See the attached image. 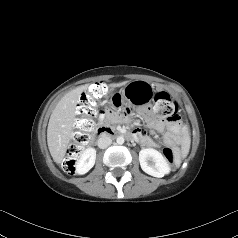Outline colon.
I'll use <instances>...</instances> for the list:
<instances>
[{
  "label": "colon",
  "mask_w": 238,
  "mask_h": 238,
  "mask_svg": "<svg viewBox=\"0 0 238 238\" xmlns=\"http://www.w3.org/2000/svg\"><path fill=\"white\" fill-rule=\"evenodd\" d=\"M108 86L104 83H95L82 94L77 105L78 118L75 121V131L63 161V168L67 173H73L78 156L88 144L94 128L93 117L97 113V106L107 94ZM153 113L168 121H177L179 118L178 103L166 92H159L154 99ZM163 154L171 166L175 165V153L171 147H165Z\"/></svg>",
  "instance_id": "5ec220e1"
}]
</instances>
